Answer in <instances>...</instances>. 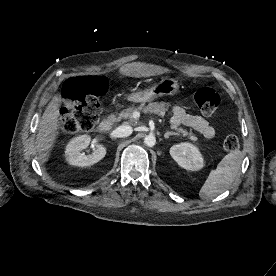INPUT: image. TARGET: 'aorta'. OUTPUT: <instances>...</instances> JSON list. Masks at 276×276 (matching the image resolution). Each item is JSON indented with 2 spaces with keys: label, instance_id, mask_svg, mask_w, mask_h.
Returning <instances> with one entry per match:
<instances>
[{
  "label": "aorta",
  "instance_id": "762f6f07",
  "mask_svg": "<svg viewBox=\"0 0 276 276\" xmlns=\"http://www.w3.org/2000/svg\"><path fill=\"white\" fill-rule=\"evenodd\" d=\"M144 143L149 146V147H153L155 144H156V138L154 135H147L145 138H144Z\"/></svg>",
  "mask_w": 276,
  "mask_h": 276
}]
</instances>
